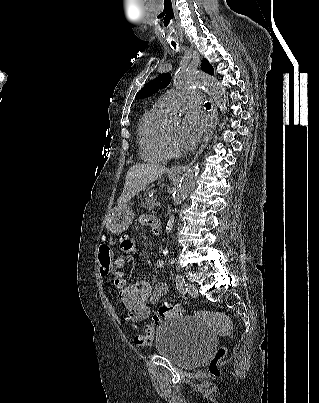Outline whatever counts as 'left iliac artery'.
I'll list each match as a JSON object with an SVG mask.
<instances>
[{
  "label": "left iliac artery",
  "instance_id": "44dca946",
  "mask_svg": "<svg viewBox=\"0 0 319 403\" xmlns=\"http://www.w3.org/2000/svg\"><path fill=\"white\" fill-rule=\"evenodd\" d=\"M176 287L180 293L183 295L187 292V284L185 282L184 277L181 274L176 275Z\"/></svg>",
  "mask_w": 319,
  "mask_h": 403
}]
</instances>
